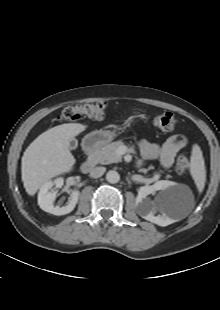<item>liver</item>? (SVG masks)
Here are the masks:
<instances>
[{"label":"liver","mask_w":220,"mask_h":310,"mask_svg":"<svg viewBox=\"0 0 220 310\" xmlns=\"http://www.w3.org/2000/svg\"><path fill=\"white\" fill-rule=\"evenodd\" d=\"M80 123L55 126L40 134L25 150L21 162L22 182L33 196L51 178L72 170L75 158L69 141L86 129Z\"/></svg>","instance_id":"6515ba94"}]
</instances>
